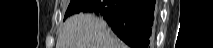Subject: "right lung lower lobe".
<instances>
[{
	"label": "right lung lower lobe",
	"mask_w": 213,
	"mask_h": 48,
	"mask_svg": "<svg viewBox=\"0 0 213 48\" xmlns=\"http://www.w3.org/2000/svg\"><path fill=\"white\" fill-rule=\"evenodd\" d=\"M81 12L104 18L113 32L132 48H148L155 0H88Z\"/></svg>",
	"instance_id": "98d812e1"
}]
</instances>
